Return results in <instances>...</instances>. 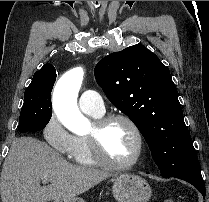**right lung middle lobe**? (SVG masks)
Returning a JSON list of instances; mask_svg holds the SVG:
<instances>
[{
  "mask_svg": "<svg viewBox=\"0 0 209 202\" xmlns=\"http://www.w3.org/2000/svg\"><path fill=\"white\" fill-rule=\"evenodd\" d=\"M55 78H36L24 93L19 118V132H36L45 128L52 116L51 91Z\"/></svg>",
  "mask_w": 209,
  "mask_h": 202,
  "instance_id": "right-lung-middle-lobe-1",
  "label": "right lung middle lobe"
}]
</instances>
